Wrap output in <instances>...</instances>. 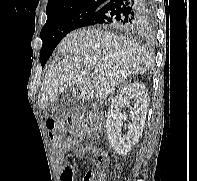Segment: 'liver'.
<instances>
[{"label":"liver","instance_id":"obj_1","mask_svg":"<svg viewBox=\"0 0 197 181\" xmlns=\"http://www.w3.org/2000/svg\"><path fill=\"white\" fill-rule=\"evenodd\" d=\"M58 51L63 59L53 62L45 75L39 94L41 109L74 85L82 99H104L129 76L144 74L153 67L152 59L137 43L100 29L69 33Z\"/></svg>","mask_w":197,"mask_h":181}]
</instances>
